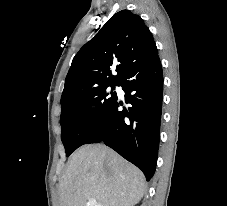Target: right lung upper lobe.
<instances>
[{"instance_id":"1","label":"right lung upper lobe","mask_w":227,"mask_h":206,"mask_svg":"<svg viewBox=\"0 0 227 206\" xmlns=\"http://www.w3.org/2000/svg\"><path fill=\"white\" fill-rule=\"evenodd\" d=\"M157 56L156 44L143 19L122 10L75 55L61 100L96 87L119 84L132 69L149 64Z\"/></svg>"}]
</instances>
